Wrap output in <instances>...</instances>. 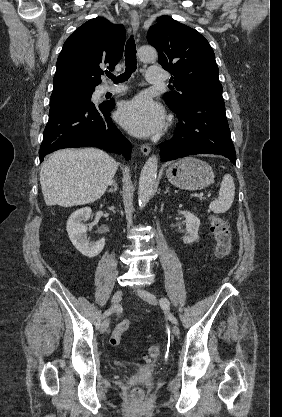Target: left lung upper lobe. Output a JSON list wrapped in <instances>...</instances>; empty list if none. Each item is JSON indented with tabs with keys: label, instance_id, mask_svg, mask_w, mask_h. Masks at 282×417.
<instances>
[{
	"label": "left lung upper lobe",
	"instance_id": "1",
	"mask_svg": "<svg viewBox=\"0 0 282 417\" xmlns=\"http://www.w3.org/2000/svg\"><path fill=\"white\" fill-rule=\"evenodd\" d=\"M147 39L157 49L159 63L173 75L170 80L179 91L164 94L171 109H179L199 92L222 94L215 54L198 31L164 15L150 27Z\"/></svg>",
	"mask_w": 282,
	"mask_h": 417
}]
</instances>
